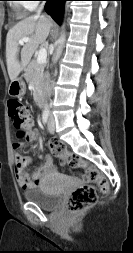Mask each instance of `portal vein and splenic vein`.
<instances>
[{
    "instance_id": "obj_1",
    "label": "portal vein and splenic vein",
    "mask_w": 133,
    "mask_h": 253,
    "mask_svg": "<svg viewBox=\"0 0 133 253\" xmlns=\"http://www.w3.org/2000/svg\"><path fill=\"white\" fill-rule=\"evenodd\" d=\"M30 38L25 37L19 40V44L23 45L25 42H29ZM47 59V50L45 48H41L38 52L37 62L44 63Z\"/></svg>"
}]
</instances>
